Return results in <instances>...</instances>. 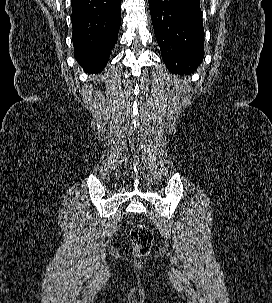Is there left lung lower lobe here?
I'll return each instance as SVG.
<instances>
[{
    "label": "left lung lower lobe",
    "mask_w": 272,
    "mask_h": 303,
    "mask_svg": "<svg viewBox=\"0 0 272 303\" xmlns=\"http://www.w3.org/2000/svg\"><path fill=\"white\" fill-rule=\"evenodd\" d=\"M155 37L171 72L196 69L204 57L200 0H149Z\"/></svg>",
    "instance_id": "obj_1"
}]
</instances>
